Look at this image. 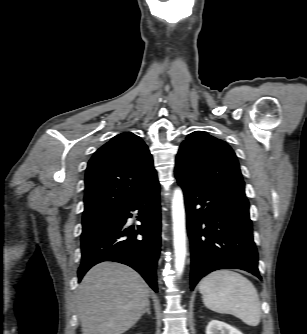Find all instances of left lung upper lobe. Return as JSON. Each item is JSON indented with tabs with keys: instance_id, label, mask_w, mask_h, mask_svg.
Wrapping results in <instances>:
<instances>
[{
	"instance_id": "left-lung-upper-lobe-1",
	"label": "left lung upper lobe",
	"mask_w": 307,
	"mask_h": 334,
	"mask_svg": "<svg viewBox=\"0 0 307 334\" xmlns=\"http://www.w3.org/2000/svg\"><path fill=\"white\" fill-rule=\"evenodd\" d=\"M175 174L208 186L245 195V185L234 151L204 131L189 134L180 146Z\"/></svg>"
}]
</instances>
